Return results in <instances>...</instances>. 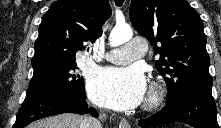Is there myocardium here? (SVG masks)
Segmentation results:
<instances>
[{"instance_id": "f54148a6", "label": "myocardium", "mask_w": 221, "mask_h": 128, "mask_svg": "<svg viewBox=\"0 0 221 128\" xmlns=\"http://www.w3.org/2000/svg\"><path fill=\"white\" fill-rule=\"evenodd\" d=\"M163 98V90L159 85H151L144 103L145 110H153L159 106Z\"/></svg>"}]
</instances>
